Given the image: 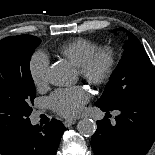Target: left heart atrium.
Masks as SVG:
<instances>
[{
  "instance_id": "obj_1",
  "label": "left heart atrium",
  "mask_w": 155,
  "mask_h": 155,
  "mask_svg": "<svg viewBox=\"0 0 155 155\" xmlns=\"http://www.w3.org/2000/svg\"><path fill=\"white\" fill-rule=\"evenodd\" d=\"M89 100V93L81 86L59 89L48 99L50 106L61 116L76 117L82 110L83 105Z\"/></svg>"
}]
</instances>
